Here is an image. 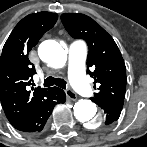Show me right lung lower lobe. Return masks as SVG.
I'll return each mask as SVG.
<instances>
[{
	"label": "right lung lower lobe",
	"instance_id": "98d812e1",
	"mask_svg": "<svg viewBox=\"0 0 147 147\" xmlns=\"http://www.w3.org/2000/svg\"><path fill=\"white\" fill-rule=\"evenodd\" d=\"M66 100L65 92L57 87L49 91V96L26 117L11 123L14 128L21 132L38 133L43 130L53 108L58 103Z\"/></svg>",
	"mask_w": 147,
	"mask_h": 147
}]
</instances>
